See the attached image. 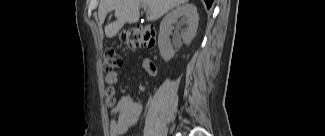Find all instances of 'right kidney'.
<instances>
[{
  "instance_id": "right-kidney-1",
  "label": "right kidney",
  "mask_w": 325,
  "mask_h": 136,
  "mask_svg": "<svg viewBox=\"0 0 325 136\" xmlns=\"http://www.w3.org/2000/svg\"><path fill=\"white\" fill-rule=\"evenodd\" d=\"M180 17V25H187L182 32L183 42L185 44L191 43L196 35L199 16L194 4L185 3L182 6L176 7L172 12L166 15L160 24L158 37L160 54L165 61H169L175 55V51L170 45L169 33L171 25L176 23Z\"/></svg>"
}]
</instances>
